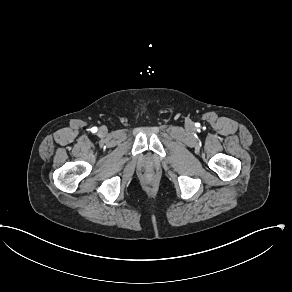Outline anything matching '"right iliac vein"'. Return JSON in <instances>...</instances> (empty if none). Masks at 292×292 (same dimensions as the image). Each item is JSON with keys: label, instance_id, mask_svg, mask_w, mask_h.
I'll list each match as a JSON object with an SVG mask.
<instances>
[{"label": "right iliac vein", "instance_id": "obj_1", "mask_svg": "<svg viewBox=\"0 0 292 292\" xmlns=\"http://www.w3.org/2000/svg\"><path fill=\"white\" fill-rule=\"evenodd\" d=\"M98 134L102 137L105 136L107 134V128L104 126L100 127L98 130Z\"/></svg>", "mask_w": 292, "mask_h": 292}]
</instances>
